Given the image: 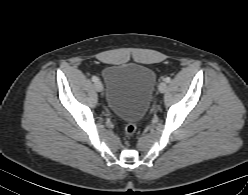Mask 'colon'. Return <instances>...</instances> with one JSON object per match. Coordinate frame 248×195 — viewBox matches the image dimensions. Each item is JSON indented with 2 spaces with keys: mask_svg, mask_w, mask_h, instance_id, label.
I'll return each instance as SVG.
<instances>
[{
  "mask_svg": "<svg viewBox=\"0 0 248 195\" xmlns=\"http://www.w3.org/2000/svg\"><path fill=\"white\" fill-rule=\"evenodd\" d=\"M136 130H137L136 122L128 121L125 125V128H124L125 137L127 139L132 138L135 135Z\"/></svg>",
  "mask_w": 248,
  "mask_h": 195,
  "instance_id": "obj_1",
  "label": "colon"
}]
</instances>
